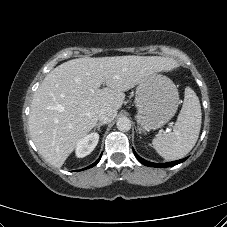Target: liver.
Listing matches in <instances>:
<instances>
[{
    "label": "liver",
    "mask_w": 227,
    "mask_h": 227,
    "mask_svg": "<svg viewBox=\"0 0 227 227\" xmlns=\"http://www.w3.org/2000/svg\"><path fill=\"white\" fill-rule=\"evenodd\" d=\"M175 62L159 56L77 58L49 72L34 93L29 131L39 153L61 167L98 121L101 109L116 112L124 92ZM102 84L106 87L100 88Z\"/></svg>",
    "instance_id": "liver-1"
}]
</instances>
